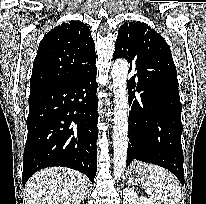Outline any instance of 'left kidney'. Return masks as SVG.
Segmentation results:
<instances>
[{
	"mask_svg": "<svg viewBox=\"0 0 206 204\" xmlns=\"http://www.w3.org/2000/svg\"><path fill=\"white\" fill-rule=\"evenodd\" d=\"M123 204H154L147 197H138L133 188H125L123 190Z\"/></svg>",
	"mask_w": 206,
	"mask_h": 204,
	"instance_id": "left-kidney-1",
	"label": "left kidney"
}]
</instances>
